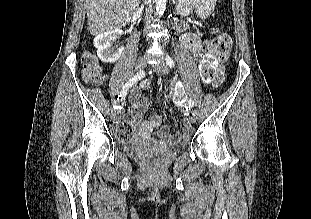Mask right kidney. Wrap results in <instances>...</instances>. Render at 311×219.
Masks as SVG:
<instances>
[{"label":"right kidney","instance_id":"ca27d5eb","mask_svg":"<svg viewBox=\"0 0 311 219\" xmlns=\"http://www.w3.org/2000/svg\"><path fill=\"white\" fill-rule=\"evenodd\" d=\"M122 31L119 29L104 32L94 39V46L97 48V55L104 63H114L122 54L123 49L113 50L111 46L116 41Z\"/></svg>","mask_w":311,"mask_h":219}]
</instances>
